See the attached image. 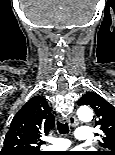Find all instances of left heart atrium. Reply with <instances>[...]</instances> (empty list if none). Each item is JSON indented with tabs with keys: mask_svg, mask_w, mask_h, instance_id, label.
<instances>
[{
	"mask_svg": "<svg viewBox=\"0 0 115 155\" xmlns=\"http://www.w3.org/2000/svg\"><path fill=\"white\" fill-rule=\"evenodd\" d=\"M66 155H81V154L79 151H74V152L66 154Z\"/></svg>",
	"mask_w": 115,
	"mask_h": 155,
	"instance_id": "39dd6f15",
	"label": "left heart atrium"
}]
</instances>
